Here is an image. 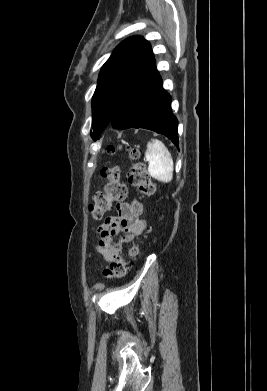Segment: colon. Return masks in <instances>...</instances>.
<instances>
[{
	"instance_id": "colon-1",
	"label": "colon",
	"mask_w": 267,
	"mask_h": 391,
	"mask_svg": "<svg viewBox=\"0 0 267 391\" xmlns=\"http://www.w3.org/2000/svg\"><path fill=\"white\" fill-rule=\"evenodd\" d=\"M127 148L130 157L135 160L127 174L129 183L135 186L141 194L146 196L152 195L155 191V186L145 164L139 161V150L131 145H128ZM116 149V146L110 144L106 147L105 152L113 154ZM100 173L105 183L103 189L95 194L93 203L89 207L94 221L103 219L105 214L112 209L113 203L124 200L127 194L126 186L120 182V168L118 166H105ZM138 253V246H133L129 249L128 256L134 258ZM129 266L130 263L126 262L122 257H116L104 269L103 275L110 279L121 278L126 274Z\"/></svg>"
}]
</instances>
